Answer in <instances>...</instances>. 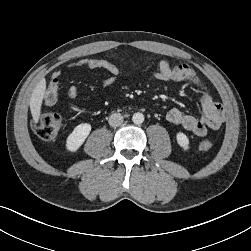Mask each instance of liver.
I'll return each instance as SVG.
<instances>
[{
    "mask_svg": "<svg viewBox=\"0 0 251 251\" xmlns=\"http://www.w3.org/2000/svg\"><path fill=\"white\" fill-rule=\"evenodd\" d=\"M45 90H46V80L42 78L36 85L35 89L33 90L29 102L30 111L35 123H38L40 118L41 106L45 95Z\"/></svg>",
    "mask_w": 251,
    "mask_h": 251,
    "instance_id": "1",
    "label": "liver"
}]
</instances>
